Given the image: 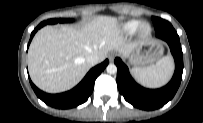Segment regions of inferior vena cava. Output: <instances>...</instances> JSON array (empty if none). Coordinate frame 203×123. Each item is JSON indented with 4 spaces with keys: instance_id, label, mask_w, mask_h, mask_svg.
<instances>
[{
    "instance_id": "1",
    "label": "inferior vena cava",
    "mask_w": 203,
    "mask_h": 123,
    "mask_svg": "<svg viewBox=\"0 0 203 123\" xmlns=\"http://www.w3.org/2000/svg\"><path fill=\"white\" fill-rule=\"evenodd\" d=\"M86 61L88 62V64H90L91 66H94L98 63L99 61V57L95 54H91L87 57Z\"/></svg>"
}]
</instances>
